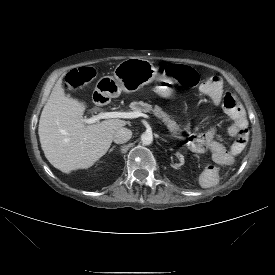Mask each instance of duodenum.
Returning <instances> with one entry per match:
<instances>
[{
    "mask_svg": "<svg viewBox=\"0 0 275 275\" xmlns=\"http://www.w3.org/2000/svg\"><path fill=\"white\" fill-rule=\"evenodd\" d=\"M91 99L94 103L105 106L109 103L110 98L107 94L103 93L101 90H94L92 92Z\"/></svg>",
    "mask_w": 275,
    "mask_h": 275,
    "instance_id": "duodenum-1",
    "label": "duodenum"
}]
</instances>
